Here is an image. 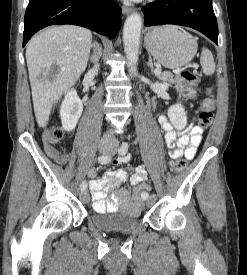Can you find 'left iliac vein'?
Segmentation results:
<instances>
[{
	"mask_svg": "<svg viewBox=\"0 0 247 275\" xmlns=\"http://www.w3.org/2000/svg\"><path fill=\"white\" fill-rule=\"evenodd\" d=\"M117 147H118L117 144H115L114 149L111 151V154H113L116 151ZM155 199H156L155 195L151 196L149 199H146L147 206L153 205V203L155 202Z\"/></svg>",
	"mask_w": 247,
	"mask_h": 275,
	"instance_id": "4c4485c4",
	"label": "left iliac vein"
}]
</instances>
